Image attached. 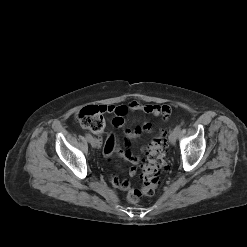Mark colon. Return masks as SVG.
<instances>
[{
    "label": "colon",
    "instance_id": "obj_1",
    "mask_svg": "<svg viewBox=\"0 0 247 247\" xmlns=\"http://www.w3.org/2000/svg\"><path fill=\"white\" fill-rule=\"evenodd\" d=\"M104 106L90 105L81 109L76 119L79 124L93 132L99 133L105 127ZM165 134L154 138L147 149V159L142 168L143 186L140 190H130L127 199L131 203L139 201L142 195L154 194L160 182V173L166 168L165 161Z\"/></svg>",
    "mask_w": 247,
    "mask_h": 247
}]
</instances>
